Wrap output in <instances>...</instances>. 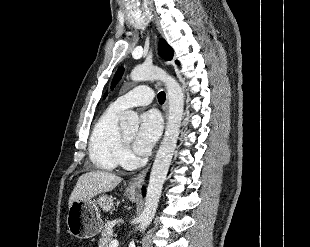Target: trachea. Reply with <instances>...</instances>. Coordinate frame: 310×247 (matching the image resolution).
<instances>
[{
	"label": "trachea",
	"instance_id": "1",
	"mask_svg": "<svg viewBox=\"0 0 310 247\" xmlns=\"http://www.w3.org/2000/svg\"><path fill=\"white\" fill-rule=\"evenodd\" d=\"M166 95L164 92H159L158 94V101L159 103L163 104L165 102Z\"/></svg>",
	"mask_w": 310,
	"mask_h": 247
}]
</instances>
